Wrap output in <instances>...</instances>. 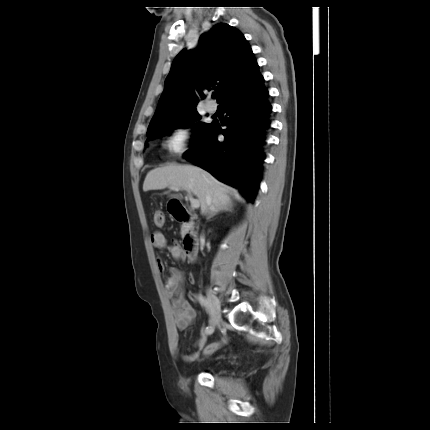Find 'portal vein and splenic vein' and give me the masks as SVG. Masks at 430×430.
Returning a JSON list of instances; mask_svg holds the SVG:
<instances>
[{"mask_svg": "<svg viewBox=\"0 0 430 430\" xmlns=\"http://www.w3.org/2000/svg\"><path fill=\"white\" fill-rule=\"evenodd\" d=\"M172 189H174L176 191L179 190V188H177V187H173ZM189 199H190V203H191L192 208H198L200 206L199 201L197 199H194L190 193H189Z\"/></svg>", "mask_w": 430, "mask_h": 430, "instance_id": "portal-vein-and-splenic-vein-1", "label": "portal vein and splenic vein"}]
</instances>
